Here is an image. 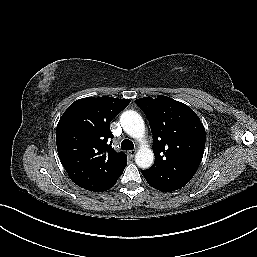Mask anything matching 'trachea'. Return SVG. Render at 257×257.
<instances>
[{
  "instance_id": "obj_1",
  "label": "trachea",
  "mask_w": 257,
  "mask_h": 257,
  "mask_svg": "<svg viewBox=\"0 0 257 257\" xmlns=\"http://www.w3.org/2000/svg\"><path fill=\"white\" fill-rule=\"evenodd\" d=\"M121 148L123 150H132L134 148V144L132 141L125 139L121 142Z\"/></svg>"
}]
</instances>
